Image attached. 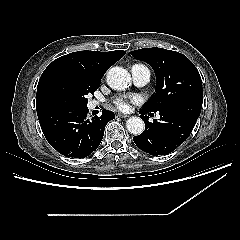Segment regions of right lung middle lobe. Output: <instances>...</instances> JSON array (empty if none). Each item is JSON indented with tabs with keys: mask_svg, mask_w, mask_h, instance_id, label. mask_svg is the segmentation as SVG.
Here are the masks:
<instances>
[{
	"mask_svg": "<svg viewBox=\"0 0 240 240\" xmlns=\"http://www.w3.org/2000/svg\"><path fill=\"white\" fill-rule=\"evenodd\" d=\"M99 85V81L80 80L69 74L61 73L48 82L45 96L54 107H87V95L93 94Z\"/></svg>",
	"mask_w": 240,
	"mask_h": 240,
	"instance_id": "obj_1",
	"label": "right lung middle lobe"
}]
</instances>
